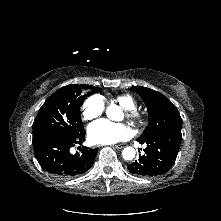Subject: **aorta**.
Returning a JSON list of instances; mask_svg holds the SVG:
<instances>
[{"instance_id":"762f6f07","label":"aorta","mask_w":221,"mask_h":221,"mask_svg":"<svg viewBox=\"0 0 221 221\" xmlns=\"http://www.w3.org/2000/svg\"><path fill=\"white\" fill-rule=\"evenodd\" d=\"M111 111V107L108 108L107 112ZM122 156L125 160H132L135 157V149L132 147H126L122 151Z\"/></svg>"}]
</instances>
